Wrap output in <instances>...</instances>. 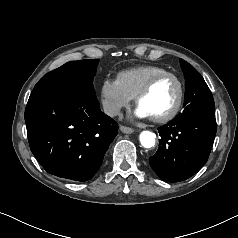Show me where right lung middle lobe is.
Wrapping results in <instances>:
<instances>
[{"mask_svg":"<svg viewBox=\"0 0 238 238\" xmlns=\"http://www.w3.org/2000/svg\"><path fill=\"white\" fill-rule=\"evenodd\" d=\"M99 59L70 61L44 75L34 90L76 86L94 93L93 78Z\"/></svg>","mask_w":238,"mask_h":238,"instance_id":"right-lung-middle-lobe-1","label":"right lung middle lobe"}]
</instances>
